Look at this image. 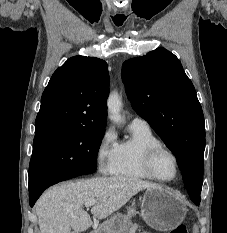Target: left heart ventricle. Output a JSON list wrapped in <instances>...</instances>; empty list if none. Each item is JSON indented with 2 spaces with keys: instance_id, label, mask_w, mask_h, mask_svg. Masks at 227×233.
I'll return each instance as SVG.
<instances>
[{
  "instance_id": "1",
  "label": "left heart ventricle",
  "mask_w": 227,
  "mask_h": 233,
  "mask_svg": "<svg viewBox=\"0 0 227 233\" xmlns=\"http://www.w3.org/2000/svg\"><path fill=\"white\" fill-rule=\"evenodd\" d=\"M154 168L156 173L164 179H170L175 174L174 160L166 152H161L157 155L154 162Z\"/></svg>"
}]
</instances>
